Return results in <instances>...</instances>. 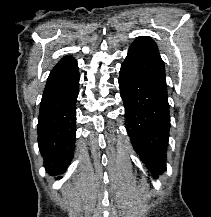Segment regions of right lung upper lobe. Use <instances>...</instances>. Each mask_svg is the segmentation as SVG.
Wrapping results in <instances>:
<instances>
[{"instance_id":"right-lung-upper-lobe-1","label":"right lung upper lobe","mask_w":211,"mask_h":217,"mask_svg":"<svg viewBox=\"0 0 211 217\" xmlns=\"http://www.w3.org/2000/svg\"><path fill=\"white\" fill-rule=\"evenodd\" d=\"M77 72L76 60L70 56L63 57L51 71L45 89L63 85L74 78Z\"/></svg>"}]
</instances>
